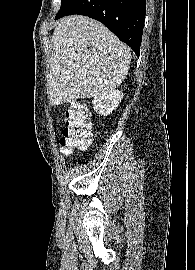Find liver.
Instances as JSON below:
<instances>
[{"label": "liver", "instance_id": "6515ba94", "mask_svg": "<svg viewBox=\"0 0 195 270\" xmlns=\"http://www.w3.org/2000/svg\"><path fill=\"white\" fill-rule=\"evenodd\" d=\"M51 48L48 100L52 105L114 90L131 62L124 43L103 24L81 15L58 22Z\"/></svg>", "mask_w": 195, "mask_h": 270}]
</instances>
